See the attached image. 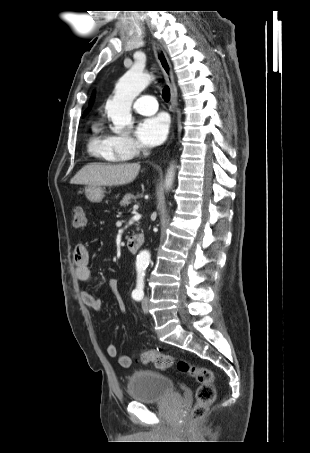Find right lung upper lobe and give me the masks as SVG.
Wrapping results in <instances>:
<instances>
[{
    "instance_id": "right-lung-upper-lobe-1",
    "label": "right lung upper lobe",
    "mask_w": 310,
    "mask_h": 453,
    "mask_svg": "<svg viewBox=\"0 0 310 453\" xmlns=\"http://www.w3.org/2000/svg\"><path fill=\"white\" fill-rule=\"evenodd\" d=\"M92 102H93V95H92L91 100H90V105L92 104ZM86 112H85V114H86Z\"/></svg>"
}]
</instances>
